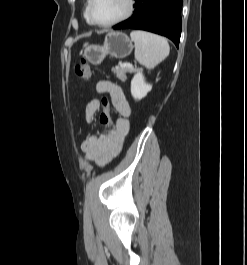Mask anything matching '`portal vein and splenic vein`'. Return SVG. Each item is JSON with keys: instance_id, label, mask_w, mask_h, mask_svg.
<instances>
[{"instance_id": "1", "label": "portal vein and splenic vein", "mask_w": 247, "mask_h": 265, "mask_svg": "<svg viewBox=\"0 0 247 265\" xmlns=\"http://www.w3.org/2000/svg\"><path fill=\"white\" fill-rule=\"evenodd\" d=\"M121 67H129V68H132V65L129 64V63H124V64H121Z\"/></svg>"}]
</instances>
